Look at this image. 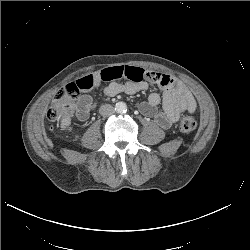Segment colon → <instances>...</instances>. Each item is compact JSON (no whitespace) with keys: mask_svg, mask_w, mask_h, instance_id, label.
Returning a JSON list of instances; mask_svg holds the SVG:
<instances>
[{"mask_svg":"<svg viewBox=\"0 0 250 250\" xmlns=\"http://www.w3.org/2000/svg\"><path fill=\"white\" fill-rule=\"evenodd\" d=\"M79 94L80 88L76 83H70L61 88L47 111V118L51 121L61 122L70 120ZM196 127L197 122L190 115H183L178 123V129L183 134H191Z\"/></svg>","mask_w":250,"mask_h":250,"instance_id":"colon-1","label":"colon"}]
</instances>
